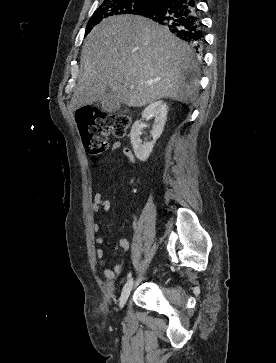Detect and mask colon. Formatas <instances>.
Instances as JSON below:
<instances>
[{
  "label": "colon",
  "mask_w": 276,
  "mask_h": 363,
  "mask_svg": "<svg viewBox=\"0 0 276 363\" xmlns=\"http://www.w3.org/2000/svg\"><path fill=\"white\" fill-rule=\"evenodd\" d=\"M76 121L84 147L91 155H98L108 147V136L123 137L129 118L123 113L100 112L92 108H80Z\"/></svg>",
  "instance_id": "colon-1"
}]
</instances>
